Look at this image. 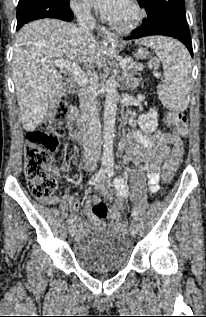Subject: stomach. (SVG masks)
I'll return each instance as SVG.
<instances>
[{
	"mask_svg": "<svg viewBox=\"0 0 206 317\" xmlns=\"http://www.w3.org/2000/svg\"><path fill=\"white\" fill-rule=\"evenodd\" d=\"M137 55H139L141 58H146L147 52L144 49H139Z\"/></svg>",
	"mask_w": 206,
	"mask_h": 317,
	"instance_id": "1",
	"label": "stomach"
}]
</instances>
